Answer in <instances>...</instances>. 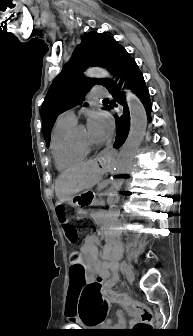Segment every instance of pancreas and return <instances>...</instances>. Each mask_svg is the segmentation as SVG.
I'll use <instances>...</instances> for the list:
<instances>
[{
    "label": "pancreas",
    "mask_w": 193,
    "mask_h": 336,
    "mask_svg": "<svg viewBox=\"0 0 193 336\" xmlns=\"http://www.w3.org/2000/svg\"><path fill=\"white\" fill-rule=\"evenodd\" d=\"M107 197V194H106ZM106 202L104 200H97L96 204L93 205V210L97 211L98 213H101L106 209Z\"/></svg>",
    "instance_id": "pancreas-1"
}]
</instances>
